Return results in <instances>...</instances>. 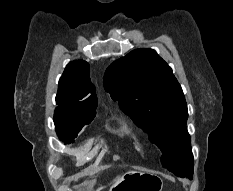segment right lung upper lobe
I'll return each mask as SVG.
<instances>
[{
	"instance_id": "right-lung-upper-lobe-1",
	"label": "right lung upper lobe",
	"mask_w": 233,
	"mask_h": 191,
	"mask_svg": "<svg viewBox=\"0 0 233 191\" xmlns=\"http://www.w3.org/2000/svg\"><path fill=\"white\" fill-rule=\"evenodd\" d=\"M55 109L69 114H91L97 108L95 87L89 77V64L84 60L69 63L59 80Z\"/></svg>"
}]
</instances>
